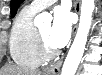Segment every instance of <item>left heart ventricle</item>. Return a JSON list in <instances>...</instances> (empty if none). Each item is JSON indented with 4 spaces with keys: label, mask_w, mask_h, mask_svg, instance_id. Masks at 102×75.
<instances>
[{
    "label": "left heart ventricle",
    "mask_w": 102,
    "mask_h": 75,
    "mask_svg": "<svg viewBox=\"0 0 102 75\" xmlns=\"http://www.w3.org/2000/svg\"><path fill=\"white\" fill-rule=\"evenodd\" d=\"M50 29H51L50 25H46V26L41 27L39 30L42 34V37H43L44 41L49 46V48L50 49H55L52 46V44L50 43V40H49Z\"/></svg>",
    "instance_id": "left-heart-ventricle-1"
}]
</instances>
